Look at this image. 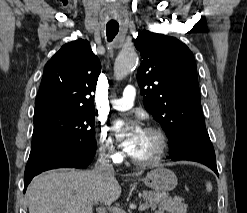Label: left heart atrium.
<instances>
[{
    "instance_id": "39dd6f15",
    "label": "left heart atrium",
    "mask_w": 247,
    "mask_h": 213,
    "mask_svg": "<svg viewBox=\"0 0 247 213\" xmlns=\"http://www.w3.org/2000/svg\"><path fill=\"white\" fill-rule=\"evenodd\" d=\"M123 125V122L117 121L115 123L114 128L118 129ZM144 134L143 128L138 124L134 123L133 130L131 135L123 142L124 149L129 153L133 154L136 148L138 147V144Z\"/></svg>"
}]
</instances>
